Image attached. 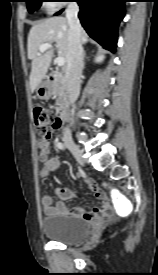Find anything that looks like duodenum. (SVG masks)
<instances>
[{
	"instance_id": "obj_1",
	"label": "duodenum",
	"mask_w": 158,
	"mask_h": 275,
	"mask_svg": "<svg viewBox=\"0 0 158 275\" xmlns=\"http://www.w3.org/2000/svg\"><path fill=\"white\" fill-rule=\"evenodd\" d=\"M48 80L51 81L53 80V76L49 75ZM69 119V109L66 106H61L58 111V120L60 124H63Z\"/></svg>"
}]
</instances>
